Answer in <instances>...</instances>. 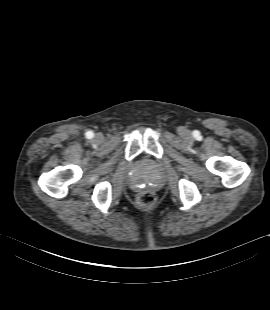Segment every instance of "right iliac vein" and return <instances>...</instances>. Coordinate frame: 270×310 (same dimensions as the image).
Masks as SVG:
<instances>
[{
    "label": "right iliac vein",
    "mask_w": 270,
    "mask_h": 310,
    "mask_svg": "<svg viewBox=\"0 0 270 310\" xmlns=\"http://www.w3.org/2000/svg\"><path fill=\"white\" fill-rule=\"evenodd\" d=\"M94 140H95L96 143H101L103 141V135L102 134H97L94 137Z\"/></svg>",
    "instance_id": "obj_1"
}]
</instances>
